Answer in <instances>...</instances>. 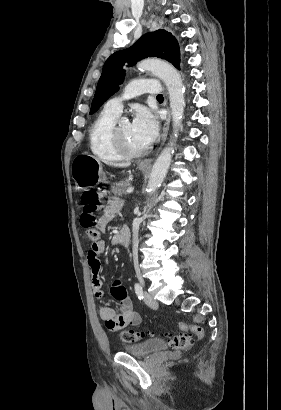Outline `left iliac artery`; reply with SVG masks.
<instances>
[{
  "instance_id": "1",
  "label": "left iliac artery",
  "mask_w": 281,
  "mask_h": 410,
  "mask_svg": "<svg viewBox=\"0 0 281 410\" xmlns=\"http://www.w3.org/2000/svg\"><path fill=\"white\" fill-rule=\"evenodd\" d=\"M134 288H135V293H136V295L138 296V298H139L140 300L143 299V289H142V286H141L140 284H138V283H135Z\"/></svg>"
}]
</instances>
